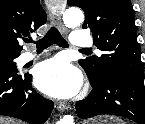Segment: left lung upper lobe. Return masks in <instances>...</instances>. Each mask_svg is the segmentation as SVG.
I'll return each mask as SVG.
<instances>
[{
  "label": "left lung upper lobe",
  "mask_w": 145,
  "mask_h": 124,
  "mask_svg": "<svg viewBox=\"0 0 145 124\" xmlns=\"http://www.w3.org/2000/svg\"><path fill=\"white\" fill-rule=\"evenodd\" d=\"M85 11L82 28H89L103 54L80 60L89 79L98 82L112 72L143 77L135 15L130 0H68Z\"/></svg>",
  "instance_id": "5c2ea615"
}]
</instances>
